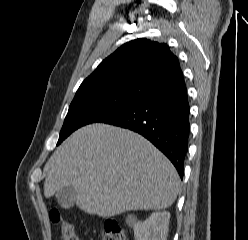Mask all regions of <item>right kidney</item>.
I'll list each match as a JSON object with an SVG mask.
<instances>
[{
	"mask_svg": "<svg viewBox=\"0 0 248 240\" xmlns=\"http://www.w3.org/2000/svg\"><path fill=\"white\" fill-rule=\"evenodd\" d=\"M170 213L155 212L143 222L134 224L135 240H167Z\"/></svg>",
	"mask_w": 248,
	"mask_h": 240,
	"instance_id": "1",
	"label": "right kidney"
}]
</instances>
